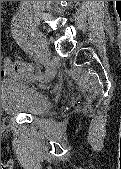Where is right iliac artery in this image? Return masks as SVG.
I'll return each instance as SVG.
<instances>
[{"label": "right iliac artery", "instance_id": "82829eb1", "mask_svg": "<svg viewBox=\"0 0 121 169\" xmlns=\"http://www.w3.org/2000/svg\"><path fill=\"white\" fill-rule=\"evenodd\" d=\"M21 18L19 14L15 15L12 20L11 25V31L13 34L14 39L16 42L30 55L34 56L36 60H38L45 68L46 72L43 75H39L37 78L39 80L46 81V79L49 77L50 62L41 54V52L38 50L36 44L34 43V40L31 39L30 35L27 33V31H23L21 26Z\"/></svg>", "mask_w": 121, "mask_h": 169}]
</instances>
